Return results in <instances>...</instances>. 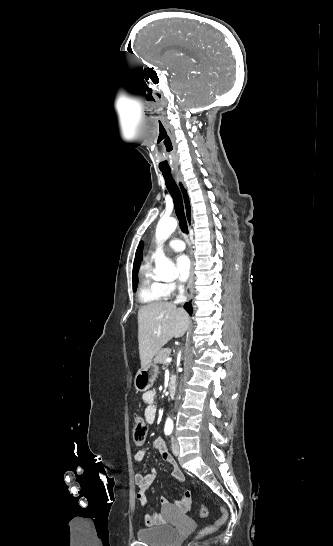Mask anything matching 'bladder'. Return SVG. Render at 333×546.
I'll use <instances>...</instances> for the list:
<instances>
[{
  "label": "bladder",
  "instance_id": "1",
  "mask_svg": "<svg viewBox=\"0 0 333 546\" xmlns=\"http://www.w3.org/2000/svg\"><path fill=\"white\" fill-rule=\"evenodd\" d=\"M178 537V530L170 525L147 527L137 531V539L149 546H172Z\"/></svg>",
  "mask_w": 333,
  "mask_h": 546
}]
</instances>
